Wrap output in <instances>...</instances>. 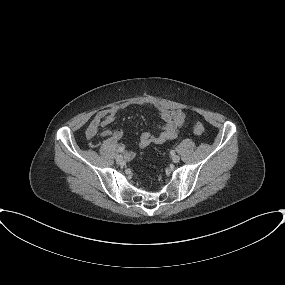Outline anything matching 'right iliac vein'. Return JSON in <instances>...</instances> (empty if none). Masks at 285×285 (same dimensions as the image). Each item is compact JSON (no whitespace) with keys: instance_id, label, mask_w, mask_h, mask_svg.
I'll return each mask as SVG.
<instances>
[{"instance_id":"63e3f726","label":"right iliac vein","mask_w":285,"mask_h":285,"mask_svg":"<svg viewBox=\"0 0 285 285\" xmlns=\"http://www.w3.org/2000/svg\"><path fill=\"white\" fill-rule=\"evenodd\" d=\"M128 158H129V156L127 154H124V156L117 155L116 156V161H117V163H122L124 160H126Z\"/></svg>"}]
</instances>
